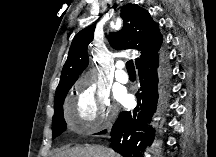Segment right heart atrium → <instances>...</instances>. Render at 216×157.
Returning a JSON list of instances; mask_svg holds the SVG:
<instances>
[{
	"instance_id": "1",
	"label": "right heart atrium",
	"mask_w": 216,
	"mask_h": 157,
	"mask_svg": "<svg viewBox=\"0 0 216 157\" xmlns=\"http://www.w3.org/2000/svg\"><path fill=\"white\" fill-rule=\"evenodd\" d=\"M116 116L117 109L105 91L89 81L78 84L76 109L69 119L76 132L91 134L108 126Z\"/></svg>"
}]
</instances>
